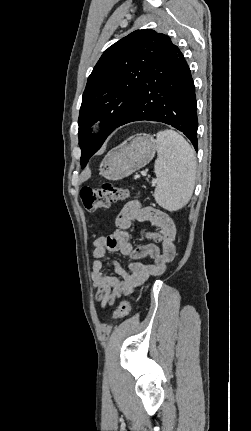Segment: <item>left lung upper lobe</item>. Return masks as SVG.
Here are the masks:
<instances>
[{
    "label": "left lung upper lobe",
    "instance_id": "5c2ea615",
    "mask_svg": "<svg viewBox=\"0 0 251 431\" xmlns=\"http://www.w3.org/2000/svg\"><path fill=\"white\" fill-rule=\"evenodd\" d=\"M166 39L151 29L137 30L110 46L97 62L88 77L78 119L82 168L126 117ZM99 120L102 131L90 134Z\"/></svg>",
    "mask_w": 251,
    "mask_h": 431
}]
</instances>
